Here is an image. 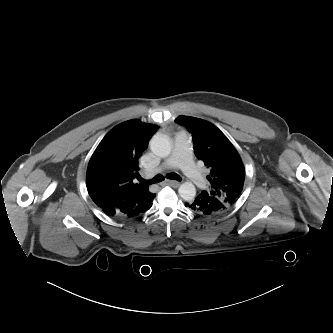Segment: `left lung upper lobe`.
<instances>
[{
    "label": "left lung upper lobe",
    "mask_w": 333,
    "mask_h": 333,
    "mask_svg": "<svg viewBox=\"0 0 333 333\" xmlns=\"http://www.w3.org/2000/svg\"><path fill=\"white\" fill-rule=\"evenodd\" d=\"M175 122L192 133L195 155L210 168L208 194L222 202L223 212L229 210L237 202L245 179L238 152L227 137L206 120L182 115Z\"/></svg>",
    "instance_id": "left-lung-upper-lobe-1"
}]
</instances>
